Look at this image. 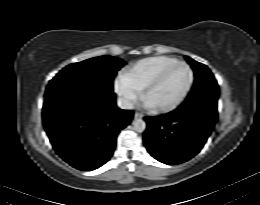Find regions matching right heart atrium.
Listing matches in <instances>:
<instances>
[{"instance_id": "obj_1", "label": "right heart atrium", "mask_w": 260, "mask_h": 205, "mask_svg": "<svg viewBox=\"0 0 260 205\" xmlns=\"http://www.w3.org/2000/svg\"><path fill=\"white\" fill-rule=\"evenodd\" d=\"M115 89L129 108H131L141 96V91L130 85L123 78V75L118 77L115 83Z\"/></svg>"}]
</instances>
